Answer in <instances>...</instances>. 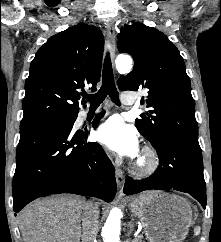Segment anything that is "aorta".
<instances>
[{
  "label": "aorta",
  "instance_id": "1",
  "mask_svg": "<svg viewBox=\"0 0 221 242\" xmlns=\"http://www.w3.org/2000/svg\"><path fill=\"white\" fill-rule=\"evenodd\" d=\"M116 68L120 74H127L132 69V58L129 56H118ZM121 210L117 207L110 214L102 228L103 242H120V216Z\"/></svg>",
  "mask_w": 221,
  "mask_h": 242
}]
</instances>
